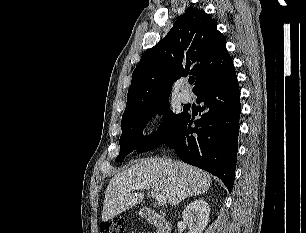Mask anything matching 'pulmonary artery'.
<instances>
[{"instance_id":"pulmonary-artery-1","label":"pulmonary artery","mask_w":306,"mask_h":233,"mask_svg":"<svg viewBox=\"0 0 306 233\" xmlns=\"http://www.w3.org/2000/svg\"><path fill=\"white\" fill-rule=\"evenodd\" d=\"M179 99L182 103L188 104L192 101V96L186 89H183L179 94Z\"/></svg>"}]
</instances>
